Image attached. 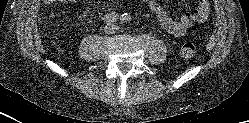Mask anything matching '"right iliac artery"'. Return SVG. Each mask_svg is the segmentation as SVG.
Here are the masks:
<instances>
[{"instance_id":"82829eb1","label":"right iliac artery","mask_w":249,"mask_h":123,"mask_svg":"<svg viewBox=\"0 0 249 123\" xmlns=\"http://www.w3.org/2000/svg\"><path fill=\"white\" fill-rule=\"evenodd\" d=\"M119 15L116 12H111L104 16L103 20L107 24L114 23L118 19Z\"/></svg>"}]
</instances>
